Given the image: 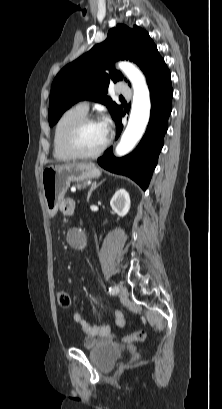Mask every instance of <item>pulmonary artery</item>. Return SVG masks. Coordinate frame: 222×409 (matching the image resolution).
I'll return each instance as SVG.
<instances>
[{
	"instance_id": "obj_1",
	"label": "pulmonary artery",
	"mask_w": 222,
	"mask_h": 409,
	"mask_svg": "<svg viewBox=\"0 0 222 409\" xmlns=\"http://www.w3.org/2000/svg\"><path fill=\"white\" fill-rule=\"evenodd\" d=\"M116 92L125 96H129L130 95V90L129 88L124 85V84H120L117 88H116ZM77 106L87 112L89 110V102L88 101H81L77 104Z\"/></svg>"
}]
</instances>
